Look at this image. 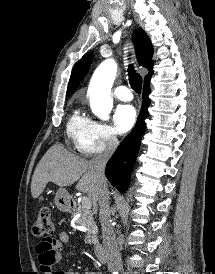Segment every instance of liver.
I'll return each instance as SVG.
<instances>
[{
    "label": "liver",
    "mask_w": 215,
    "mask_h": 274,
    "mask_svg": "<svg viewBox=\"0 0 215 274\" xmlns=\"http://www.w3.org/2000/svg\"><path fill=\"white\" fill-rule=\"evenodd\" d=\"M76 189L87 193L93 202L98 200V178L91 161L75 155L60 145H53L38 163L31 182V194L38 198L48 182L60 187L77 182Z\"/></svg>",
    "instance_id": "liver-1"
}]
</instances>
